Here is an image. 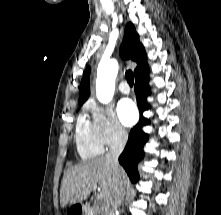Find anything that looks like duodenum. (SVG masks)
<instances>
[{
	"label": "duodenum",
	"instance_id": "1",
	"mask_svg": "<svg viewBox=\"0 0 221 215\" xmlns=\"http://www.w3.org/2000/svg\"><path fill=\"white\" fill-rule=\"evenodd\" d=\"M88 207L85 205H75L71 215H85L86 211H87Z\"/></svg>",
	"mask_w": 221,
	"mask_h": 215
}]
</instances>
